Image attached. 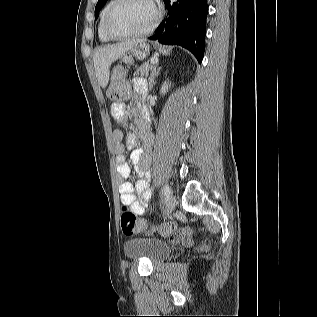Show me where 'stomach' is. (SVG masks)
Segmentation results:
<instances>
[{
  "mask_svg": "<svg viewBox=\"0 0 317 317\" xmlns=\"http://www.w3.org/2000/svg\"><path fill=\"white\" fill-rule=\"evenodd\" d=\"M150 46L145 42H140L131 47L122 57L121 61L124 63H114V68H127V70H132L133 58H137L136 65L142 66L144 59L149 53Z\"/></svg>",
  "mask_w": 317,
  "mask_h": 317,
  "instance_id": "obj_1",
  "label": "stomach"
}]
</instances>
